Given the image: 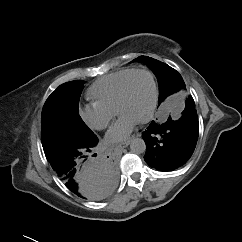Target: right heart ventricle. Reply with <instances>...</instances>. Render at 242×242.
I'll list each match as a JSON object with an SVG mask.
<instances>
[{
  "label": "right heart ventricle",
  "instance_id": "e07e8e85",
  "mask_svg": "<svg viewBox=\"0 0 242 242\" xmlns=\"http://www.w3.org/2000/svg\"><path fill=\"white\" fill-rule=\"evenodd\" d=\"M134 70V68H124L101 77L89 87L88 97L94 103L116 111L120 87L124 79Z\"/></svg>",
  "mask_w": 242,
  "mask_h": 242
}]
</instances>
